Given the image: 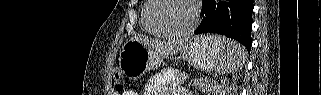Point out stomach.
Returning <instances> with one entry per match:
<instances>
[{"label": "stomach", "instance_id": "0dacf381", "mask_svg": "<svg viewBox=\"0 0 321 95\" xmlns=\"http://www.w3.org/2000/svg\"><path fill=\"white\" fill-rule=\"evenodd\" d=\"M223 52L216 36H200L188 41L181 53L192 66L199 70L211 71ZM162 55L136 40H129L119 54V69L124 76L138 79L145 73L160 66Z\"/></svg>", "mask_w": 321, "mask_h": 95}]
</instances>
